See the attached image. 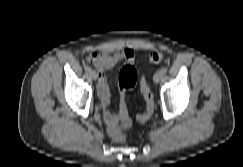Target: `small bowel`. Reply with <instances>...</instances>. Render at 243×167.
<instances>
[{"label":"small bowel","mask_w":243,"mask_h":167,"mask_svg":"<svg viewBox=\"0 0 243 167\" xmlns=\"http://www.w3.org/2000/svg\"><path fill=\"white\" fill-rule=\"evenodd\" d=\"M124 60L128 64L135 62V53L130 48L117 50L115 52H94L88 61L96 68L98 76L97 92L103 108V117L109 127L112 123L117 122L122 109H126L124 103V93L120 94L119 113L116 114L109 109L111 102V91L107 84L105 71L112 69L120 61Z\"/></svg>","instance_id":"small-bowel-1"}]
</instances>
